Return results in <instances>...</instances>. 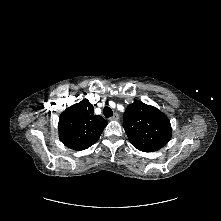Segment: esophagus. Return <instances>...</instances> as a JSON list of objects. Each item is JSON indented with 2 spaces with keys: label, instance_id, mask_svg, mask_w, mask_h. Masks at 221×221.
I'll return each instance as SVG.
<instances>
[{
  "label": "esophagus",
  "instance_id": "1",
  "mask_svg": "<svg viewBox=\"0 0 221 221\" xmlns=\"http://www.w3.org/2000/svg\"><path fill=\"white\" fill-rule=\"evenodd\" d=\"M119 115L117 113H114L112 117H110V120H118Z\"/></svg>",
  "mask_w": 221,
  "mask_h": 221
}]
</instances>
